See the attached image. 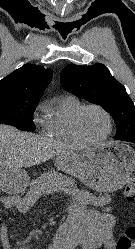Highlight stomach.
Segmentation results:
<instances>
[{
    "mask_svg": "<svg viewBox=\"0 0 135 249\" xmlns=\"http://www.w3.org/2000/svg\"><path fill=\"white\" fill-rule=\"evenodd\" d=\"M58 170L78 178L89 188L110 193L121 189L135 169V150L122 143H104L96 147L77 149L56 157ZM4 182H10L15 190L23 189L29 181L21 169H7ZM51 187L56 186L59 175L48 174Z\"/></svg>",
    "mask_w": 135,
    "mask_h": 249,
    "instance_id": "0dacf381",
    "label": "stomach"
}]
</instances>
